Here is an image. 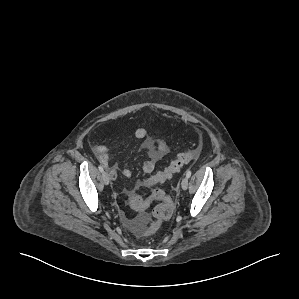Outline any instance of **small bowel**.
<instances>
[{"label":"small bowel","mask_w":299,"mask_h":299,"mask_svg":"<svg viewBox=\"0 0 299 299\" xmlns=\"http://www.w3.org/2000/svg\"><path fill=\"white\" fill-rule=\"evenodd\" d=\"M133 137L142 140V147L147 151L149 158L142 163V170L146 174L154 171L158 161H160L167 152V147L163 141H153L147 138V131L144 128L137 129ZM95 155L98 161L108 170L111 179L115 180L118 174V167L110 164L108 149L105 146H98L95 149ZM122 174L126 177L131 175L129 169L124 168L121 170Z\"/></svg>","instance_id":"obj_1"}]
</instances>
